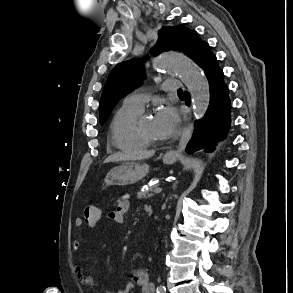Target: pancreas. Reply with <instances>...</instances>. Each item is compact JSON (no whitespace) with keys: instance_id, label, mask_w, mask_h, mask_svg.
Wrapping results in <instances>:
<instances>
[{"instance_id":"obj_1","label":"pancreas","mask_w":293,"mask_h":293,"mask_svg":"<svg viewBox=\"0 0 293 293\" xmlns=\"http://www.w3.org/2000/svg\"><path fill=\"white\" fill-rule=\"evenodd\" d=\"M155 187H150L147 190L143 191V192H138L137 198L138 199H148L152 196H154V191Z\"/></svg>"}]
</instances>
